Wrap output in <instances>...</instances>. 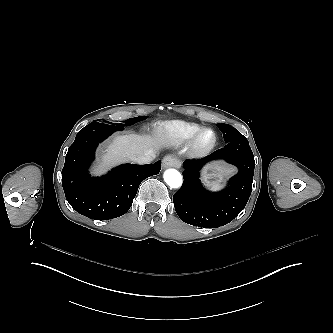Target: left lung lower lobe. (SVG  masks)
Returning a JSON list of instances; mask_svg holds the SVG:
<instances>
[{"instance_id":"0a47b994","label":"left lung lower lobe","mask_w":333,"mask_h":333,"mask_svg":"<svg viewBox=\"0 0 333 333\" xmlns=\"http://www.w3.org/2000/svg\"><path fill=\"white\" fill-rule=\"evenodd\" d=\"M224 159L239 171L230 178L224 190L211 193L199 180V172L207 162ZM184 182L174 194L173 202L181 220L193 226L217 228L231 222L246 206L253 183L255 161L248 140L243 135L226 142L209 156L187 160L183 164Z\"/></svg>"}]
</instances>
